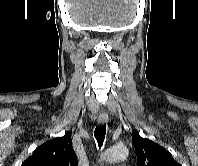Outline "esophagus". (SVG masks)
<instances>
[{"label": "esophagus", "mask_w": 198, "mask_h": 166, "mask_svg": "<svg viewBox=\"0 0 198 166\" xmlns=\"http://www.w3.org/2000/svg\"><path fill=\"white\" fill-rule=\"evenodd\" d=\"M109 121V116L107 114H100L98 117V123L103 125Z\"/></svg>", "instance_id": "esophagus-1"}]
</instances>
